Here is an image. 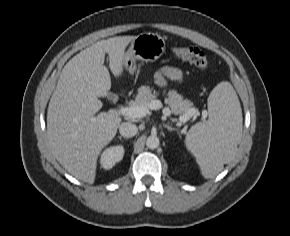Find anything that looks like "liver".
<instances>
[{
	"mask_svg": "<svg viewBox=\"0 0 290 236\" xmlns=\"http://www.w3.org/2000/svg\"><path fill=\"white\" fill-rule=\"evenodd\" d=\"M136 36L101 40L75 55L62 69L47 111V138L56 160L71 175L93 184L100 151L111 142L121 118L101 112L111 77L124 71L125 48Z\"/></svg>",
	"mask_w": 290,
	"mask_h": 236,
	"instance_id": "liver-1",
	"label": "liver"
}]
</instances>
